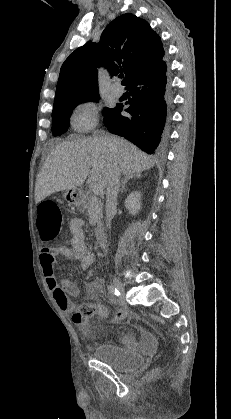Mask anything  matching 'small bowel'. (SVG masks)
Here are the masks:
<instances>
[{
	"mask_svg": "<svg viewBox=\"0 0 231 419\" xmlns=\"http://www.w3.org/2000/svg\"><path fill=\"white\" fill-rule=\"evenodd\" d=\"M84 221L81 218H73L70 221V231L72 238L70 245L66 246H54L44 247L40 251V264L46 284L61 311L71 314L73 321L78 324L80 329L85 335L89 334L87 327V320L89 318L80 319L77 305L72 301V297H77L80 294L79 288L75 282L69 279H62L58 282L55 272L54 265L58 256L63 255L68 260L74 261L79 260V266L82 270L89 269L95 261V256L91 251L90 246L86 242L85 232L83 229ZM89 297L94 298L97 296H104L109 298L102 291V282L97 280L90 284L87 288ZM99 309H105L100 304H94ZM98 314V313H97ZM126 317H135L131 312L126 310H119L116 314L115 321L122 320ZM143 334V349L148 350L151 346V335L139 327ZM124 342L133 346L138 341L130 334H126L123 338Z\"/></svg>",
	"mask_w": 231,
	"mask_h": 419,
	"instance_id": "c3829d8e",
	"label": "small bowel"
}]
</instances>
